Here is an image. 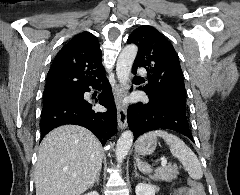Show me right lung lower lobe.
<instances>
[{
    "instance_id": "98d812e1",
    "label": "right lung lower lobe",
    "mask_w": 240,
    "mask_h": 195,
    "mask_svg": "<svg viewBox=\"0 0 240 195\" xmlns=\"http://www.w3.org/2000/svg\"><path fill=\"white\" fill-rule=\"evenodd\" d=\"M90 86L95 89L104 87L95 101L84 100V93L90 91ZM90 86L76 91L75 94L59 93L44 99L40 121L41 140L52 129L65 124L89 129L103 145L116 133L117 111L111 86L106 78ZM96 104L106 107L107 112H96Z\"/></svg>"
}]
</instances>
